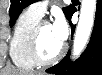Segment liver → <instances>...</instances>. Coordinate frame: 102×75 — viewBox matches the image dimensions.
Instances as JSON below:
<instances>
[{"label":"liver","mask_w":102,"mask_h":75,"mask_svg":"<svg viewBox=\"0 0 102 75\" xmlns=\"http://www.w3.org/2000/svg\"><path fill=\"white\" fill-rule=\"evenodd\" d=\"M3 73L4 74L2 75H38L36 73H28V72H24L15 68L8 69L4 71Z\"/></svg>","instance_id":"6515ba94"}]
</instances>
